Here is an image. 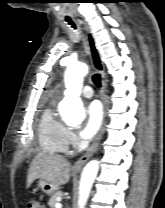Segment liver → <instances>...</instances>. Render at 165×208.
<instances>
[{"mask_svg":"<svg viewBox=\"0 0 165 208\" xmlns=\"http://www.w3.org/2000/svg\"><path fill=\"white\" fill-rule=\"evenodd\" d=\"M70 163L60 155L39 153L32 160L28 176L27 187L36 179H43L59 187L68 183L70 179Z\"/></svg>","mask_w":165,"mask_h":208,"instance_id":"1","label":"liver"}]
</instances>
